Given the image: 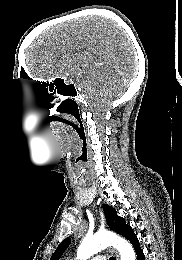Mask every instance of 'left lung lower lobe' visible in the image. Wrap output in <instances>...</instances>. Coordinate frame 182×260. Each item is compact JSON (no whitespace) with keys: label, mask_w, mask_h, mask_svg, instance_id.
<instances>
[{"label":"left lung lower lobe","mask_w":182,"mask_h":260,"mask_svg":"<svg viewBox=\"0 0 182 260\" xmlns=\"http://www.w3.org/2000/svg\"><path fill=\"white\" fill-rule=\"evenodd\" d=\"M125 238L127 240L130 241V243L133 245L135 251H136V254H137V260H145L144 258V254H143V251L140 247V244H139V241L133 231V229H131L125 236Z\"/></svg>","instance_id":"left-lung-lower-lobe-1"}]
</instances>
